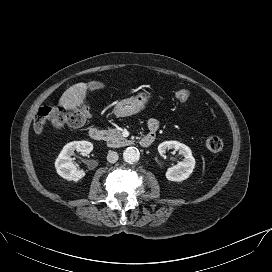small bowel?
Returning a JSON list of instances; mask_svg holds the SVG:
<instances>
[{
    "instance_id": "obj_1",
    "label": "small bowel",
    "mask_w": 272,
    "mask_h": 272,
    "mask_svg": "<svg viewBox=\"0 0 272 272\" xmlns=\"http://www.w3.org/2000/svg\"><path fill=\"white\" fill-rule=\"evenodd\" d=\"M160 126L159 121L156 118H150L147 121V128H148V134H154L156 133V131L158 130Z\"/></svg>"
}]
</instances>
